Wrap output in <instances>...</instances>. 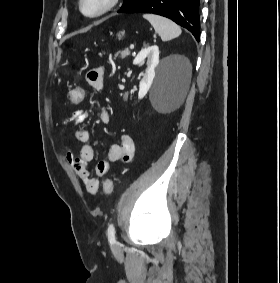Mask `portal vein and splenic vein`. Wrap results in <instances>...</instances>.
Listing matches in <instances>:
<instances>
[{"label":"portal vein and splenic vein","mask_w":280,"mask_h":283,"mask_svg":"<svg viewBox=\"0 0 280 283\" xmlns=\"http://www.w3.org/2000/svg\"><path fill=\"white\" fill-rule=\"evenodd\" d=\"M134 48V45H130V49H133Z\"/></svg>","instance_id":"obj_1"}]
</instances>
